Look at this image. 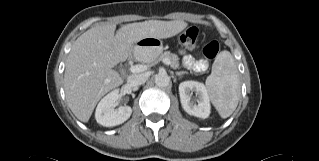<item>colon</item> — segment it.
<instances>
[{
    "label": "colon",
    "mask_w": 319,
    "mask_h": 161,
    "mask_svg": "<svg viewBox=\"0 0 319 161\" xmlns=\"http://www.w3.org/2000/svg\"><path fill=\"white\" fill-rule=\"evenodd\" d=\"M199 35L196 27H190L180 32L178 35L179 42L185 47L192 48L195 46ZM220 51V44L216 40L208 41L202 48V54L206 59H214Z\"/></svg>",
    "instance_id": "1"
}]
</instances>
